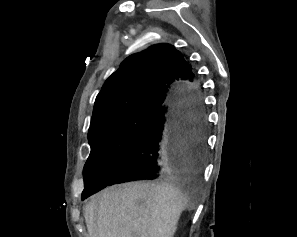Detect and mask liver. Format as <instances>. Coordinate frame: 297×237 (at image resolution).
Instances as JSON below:
<instances>
[{
    "label": "liver",
    "mask_w": 297,
    "mask_h": 237,
    "mask_svg": "<svg viewBox=\"0 0 297 237\" xmlns=\"http://www.w3.org/2000/svg\"><path fill=\"white\" fill-rule=\"evenodd\" d=\"M194 203L175 183L112 186L85 207L88 237H173L182 212Z\"/></svg>",
    "instance_id": "liver-1"
}]
</instances>
